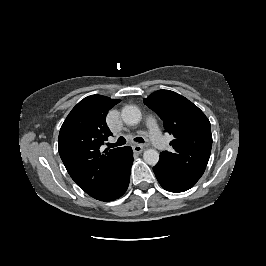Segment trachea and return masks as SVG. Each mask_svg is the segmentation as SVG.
Here are the masks:
<instances>
[{
    "label": "trachea",
    "instance_id": "obj_1",
    "mask_svg": "<svg viewBox=\"0 0 266 266\" xmlns=\"http://www.w3.org/2000/svg\"><path fill=\"white\" fill-rule=\"evenodd\" d=\"M134 141L139 142V143H144V139L142 137H136L134 138ZM126 144V139L124 137H119L116 143H107V146L109 148L117 147V146H122Z\"/></svg>",
    "mask_w": 266,
    "mask_h": 266
}]
</instances>
